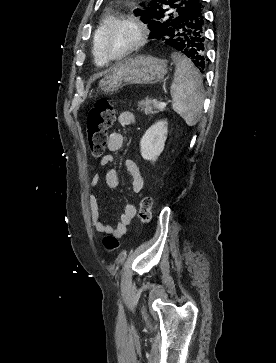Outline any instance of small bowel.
<instances>
[{
    "label": "small bowel",
    "mask_w": 276,
    "mask_h": 363,
    "mask_svg": "<svg viewBox=\"0 0 276 363\" xmlns=\"http://www.w3.org/2000/svg\"><path fill=\"white\" fill-rule=\"evenodd\" d=\"M118 123L122 126H135L136 117L130 111H122L118 114ZM123 135L119 132H112L107 141L108 150L116 152L123 146ZM114 161L112 155H106L101 160V166H107ZM125 168L131 177L132 190L135 193H140L143 189L144 182L141 176L139 167L132 159L125 161ZM100 181V175L96 173L91 180V187L94 188ZM105 183L109 188H116L119 185V176L116 168H109L105 173ZM89 205L91 211V222L94 230L100 233L111 234L117 238H121L127 232L128 226L134 219L137 213L136 205L128 203L125 205L123 213L115 227L104 223L101 220L98 198L94 191L89 193Z\"/></svg>",
    "instance_id": "c3829d8e"
}]
</instances>
